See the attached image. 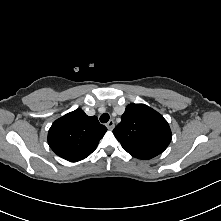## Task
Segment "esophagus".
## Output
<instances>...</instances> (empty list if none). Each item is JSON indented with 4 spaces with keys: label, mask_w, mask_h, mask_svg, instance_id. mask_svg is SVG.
Wrapping results in <instances>:
<instances>
[{
    "label": "esophagus",
    "mask_w": 221,
    "mask_h": 221,
    "mask_svg": "<svg viewBox=\"0 0 221 221\" xmlns=\"http://www.w3.org/2000/svg\"><path fill=\"white\" fill-rule=\"evenodd\" d=\"M115 126V122L113 119L109 120L106 124V127L109 129V130H112Z\"/></svg>",
    "instance_id": "34e87169"
}]
</instances>
